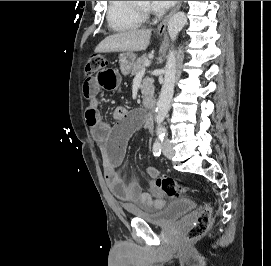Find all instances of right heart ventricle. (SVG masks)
Instances as JSON below:
<instances>
[{"instance_id": "right-heart-ventricle-1", "label": "right heart ventricle", "mask_w": 271, "mask_h": 266, "mask_svg": "<svg viewBox=\"0 0 271 266\" xmlns=\"http://www.w3.org/2000/svg\"><path fill=\"white\" fill-rule=\"evenodd\" d=\"M144 19L137 14L131 1H109L107 9V22L111 29L126 32L139 28Z\"/></svg>"}]
</instances>
